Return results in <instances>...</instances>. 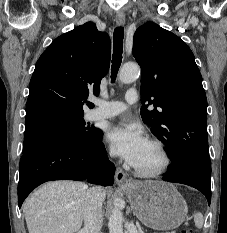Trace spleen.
<instances>
[{
  "instance_id": "spleen-1",
  "label": "spleen",
  "mask_w": 227,
  "mask_h": 233,
  "mask_svg": "<svg viewBox=\"0 0 227 233\" xmlns=\"http://www.w3.org/2000/svg\"><path fill=\"white\" fill-rule=\"evenodd\" d=\"M203 221H204L203 215L201 213H196L194 216L195 225L198 228H201L203 226Z\"/></svg>"
}]
</instances>
